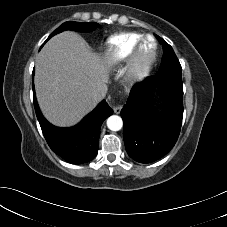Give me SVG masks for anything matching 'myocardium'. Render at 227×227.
<instances>
[{"label":"myocardium","mask_w":227,"mask_h":227,"mask_svg":"<svg viewBox=\"0 0 227 227\" xmlns=\"http://www.w3.org/2000/svg\"><path fill=\"white\" fill-rule=\"evenodd\" d=\"M147 42H151L152 49L146 60L142 59L143 48ZM158 57V44L152 35L143 36L130 55L126 70V79L129 82H137L147 77L152 71Z\"/></svg>","instance_id":"obj_1"}]
</instances>
